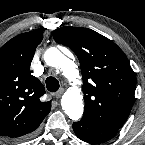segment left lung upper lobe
I'll use <instances>...</instances> for the list:
<instances>
[{
  "label": "left lung upper lobe",
  "instance_id": "obj_1",
  "mask_svg": "<svg viewBox=\"0 0 145 145\" xmlns=\"http://www.w3.org/2000/svg\"><path fill=\"white\" fill-rule=\"evenodd\" d=\"M53 37L79 59L83 118L118 130L130 114L136 88V76L126 55L113 41L87 28L62 27L53 31Z\"/></svg>",
  "mask_w": 145,
  "mask_h": 145
}]
</instances>
